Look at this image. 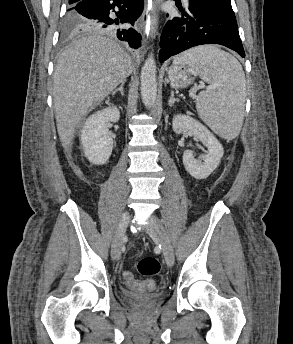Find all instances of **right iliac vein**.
Segmentation results:
<instances>
[{
    "mask_svg": "<svg viewBox=\"0 0 293 344\" xmlns=\"http://www.w3.org/2000/svg\"><path fill=\"white\" fill-rule=\"evenodd\" d=\"M130 217L131 216H130L129 211H125L115 231V234L112 240V247H111V256L114 260L118 259L121 254L122 239L125 235Z\"/></svg>",
    "mask_w": 293,
    "mask_h": 344,
    "instance_id": "63e3f726",
    "label": "right iliac vein"
}]
</instances>
